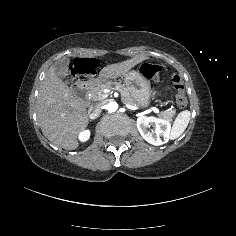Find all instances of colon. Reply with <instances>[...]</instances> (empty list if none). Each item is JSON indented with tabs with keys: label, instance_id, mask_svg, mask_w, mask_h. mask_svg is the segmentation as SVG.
<instances>
[{
	"label": "colon",
	"instance_id": "colon-1",
	"mask_svg": "<svg viewBox=\"0 0 236 236\" xmlns=\"http://www.w3.org/2000/svg\"><path fill=\"white\" fill-rule=\"evenodd\" d=\"M92 66L85 62H80L70 69L66 75V80L71 81L74 79L77 73L86 72L91 69ZM141 73L148 79L155 81H170L176 90V103L180 108H184L187 105V98L185 94V86L180 76L176 73L169 75L162 74V68L160 65L155 63H144L141 66Z\"/></svg>",
	"mask_w": 236,
	"mask_h": 236
}]
</instances>
